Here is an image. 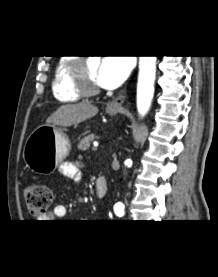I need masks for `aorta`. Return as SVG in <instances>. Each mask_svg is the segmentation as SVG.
Returning a JSON list of instances; mask_svg holds the SVG:
<instances>
[{"label":"aorta","mask_w":218,"mask_h":277,"mask_svg":"<svg viewBox=\"0 0 218 277\" xmlns=\"http://www.w3.org/2000/svg\"><path fill=\"white\" fill-rule=\"evenodd\" d=\"M156 77V56L139 57V74L137 83V110L140 116H145L151 106L154 96V82ZM131 160L125 161L129 165ZM114 212L117 216L124 215V205L120 202L114 206Z\"/></svg>","instance_id":"1"}]
</instances>
